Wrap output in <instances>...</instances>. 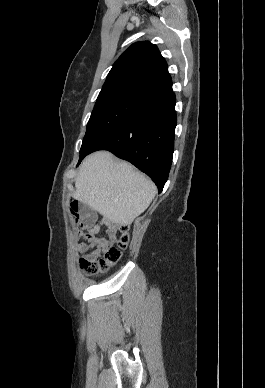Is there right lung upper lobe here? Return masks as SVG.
Instances as JSON below:
<instances>
[{
  "mask_svg": "<svg viewBox=\"0 0 265 388\" xmlns=\"http://www.w3.org/2000/svg\"><path fill=\"white\" fill-rule=\"evenodd\" d=\"M172 89L165 59L156 45L132 44L114 63L100 93L119 92L146 100Z\"/></svg>",
  "mask_w": 265,
  "mask_h": 388,
  "instance_id": "right-lung-upper-lobe-1",
  "label": "right lung upper lobe"
}]
</instances>
